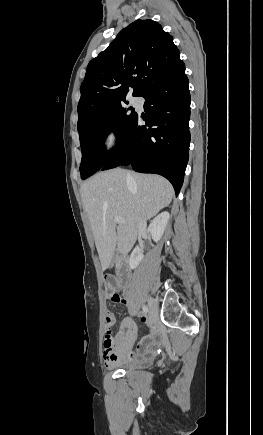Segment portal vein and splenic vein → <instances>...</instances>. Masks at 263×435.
I'll use <instances>...</instances> for the list:
<instances>
[{"instance_id": "1", "label": "portal vein and splenic vein", "mask_w": 263, "mask_h": 435, "mask_svg": "<svg viewBox=\"0 0 263 435\" xmlns=\"http://www.w3.org/2000/svg\"><path fill=\"white\" fill-rule=\"evenodd\" d=\"M115 222L116 223H118V224H120V223H124L125 221H124V219H122L121 217H115Z\"/></svg>"}]
</instances>
